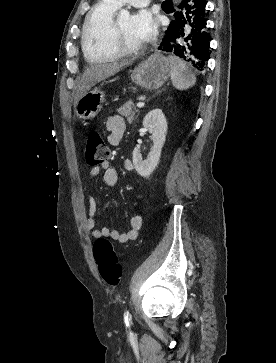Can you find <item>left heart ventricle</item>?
Masks as SVG:
<instances>
[{"instance_id":"b2bd125f","label":"left heart ventricle","mask_w":276,"mask_h":363,"mask_svg":"<svg viewBox=\"0 0 276 363\" xmlns=\"http://www.w3.org/2000/svg\"><path fill=\"white\" fill-rule=\"evenodd\" d=\"M122 42L129 47H136L145 41L138 35L133 25V16L127 15L119 18Z\"/></svg>"}]
</instances>
